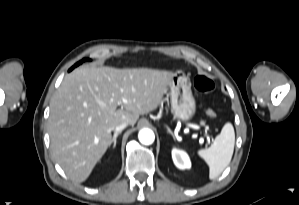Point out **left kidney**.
I'll list each match as a JSON object with an SVG mask.
<instances>
[{
	"label": "left kidney",
	"mask_w": 299,
	"mask_h": 205,
	"mask_svg": "<svg viewBox=\"0 0 299 205\" xmlns=\"http://www.w3.org/2000/svg\"><path fill=\"white\" fill-rule=\"evenodd\" d=\"M172 159L179 169H188L191 167L189 156L183 150L177 148L172 149Z\"/></svg>",
	"instance_id": "5707ae66"
}]
</instances>
